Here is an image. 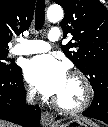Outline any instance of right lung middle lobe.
Instances as JSON below:
<instances>
[{"instance_id":"obj_1","label":"right lung middle lobe","mask_w":108,"mask_h":127,"mask_svg":"<svg viewBox=\"0 0 108 127\" xmlns=\"http://www.w3.org/2000/svg\"><path fill=\"white\" fill-rule=\"evenodd\" d=\"M8 54V50H0V70L14 71L18 66L16 64H6L5 61Z\"/></svg>"}]
</instances>
